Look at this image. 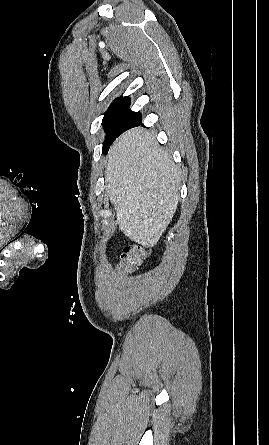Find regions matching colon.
Wrapping results in <instances>:
<instances>
[{"label": "colon", "instance_id": "5ec220e1", "mask_svg": "<svg viewBox=\"0 0 269 445\" xmlns=\"http://www.w3.org/2000/svg\"><path fill=\"white\" fill-rule=\"evenodd\" d=\"M149 250L141 245H130L124 248L121 256L120 270L131 273L148 257Z\"/></svg>", "mask_w": 269, "mask_h": 445}]
</instances>
